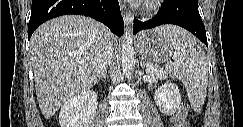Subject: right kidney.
I'll return each mask as SVG.
<instances>
[{"instance_id": "1", "label": "right kidney", "mask_w": 243, "mask_h": 127, "mask_svg": "<svg viewBox=\"0 0 243 127\" xmlns=\"http://www.w3.org/2000/svg\"><path fill=\"white\" fill-rule=\"evenodd\" d=\"M97 94L92 90L83 91L61 107L59 124L61 127H89L97 109Z\"/></svg>"}]
</instances>
